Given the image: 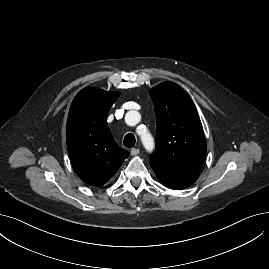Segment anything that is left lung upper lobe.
Wrapping results in <instances>:
<instances>
[{"instance_id":"obj_1","label":"left lung upper lobe","mask_w":269,"mask_h":269,"mask_svg":"<svg viewBox=\"0 0 269 269\" xmlns=\"http://www.w3.org/2000/svg\"><path fill=\"white\" fill-rule=\"evenodd\" d=\"M156 114V150L150 161L199 171L207 144L196 107L187 92L174 82H163L150 90Z\"/></svg>"}]
</instances>
